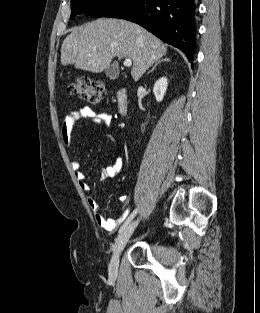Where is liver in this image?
Listing matches in <instances>:
<instances>
[{
  "mask_svg": "<svg viewBox=\"0 0 260 313\" xmlns=\"http://www.w3.org/2000/svg\"><path fill=\"white\" fill-rule=\"evenodd\" d=\"M167 53V46L143 27L122 19L100 18L75 27L61 47V64L100 73L114 57L133 61L131 75L138 81Z\"/></svg>",
  "mask_w": 260,
  "mask_h": 313,
  "instance_id": "1",
  "label": "liver"
}]
</instances>
